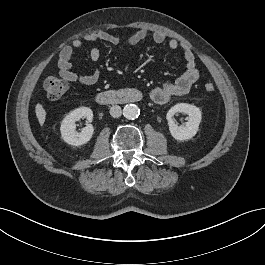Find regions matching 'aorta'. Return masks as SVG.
Returning <instances> with one entry per match:
<instances>
[{"mask_svg": "<svg viewBox=\"0 0 265 265\" xmlns=\"http://www.w3.org/2000/svg\"><path fill=\"white\" fill-rule=\"evenodd\" d=\"M140 114V109L135 104H127L123 109V115L129 120L137 118Z\"/></svg>", "mask_w": 265, "mask_h": 265, "instance_id": "obj_1", "label": "aorta"}]
</instances>
